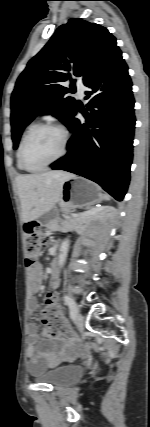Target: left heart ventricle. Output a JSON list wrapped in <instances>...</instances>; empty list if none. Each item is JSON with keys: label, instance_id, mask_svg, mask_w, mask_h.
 <instances>
[{"label": "left heart ventricle", "instance_id": "1", "mask_svg": "<svg viewBox=\"0 0 150 427\" xmlns=\"http://www.w3.org/2000/svg\"><path fill=\"white\" fill-rule=\"evenodd\" d=\"M61 134L52 129L37 131L28 141L25 149V164L38 168L53 160L61 151Z\"/></svg>", "mask_w": 150, "mask_h": 427}]
</instances>
